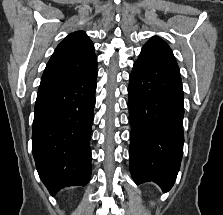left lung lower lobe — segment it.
Here are the masks:
<instances>
[{
	"label": "left lung lower lobe",
	"instance_id": "left-lung-lower-lobe-1",
	"mask_svg": "<svg viewBox=\"0 0 223 215\" xmlns=\"http://www.w3.org/2000/svg\"><path fill=\"white\" fill-rule=\"evenodd\" d=\"M130 171L136 184L169 191L183 154V89L179 74L135 62L129 76Z\"/></svg>",
	"mask_w": 223,
	"mask_h": 215
}]
</instances>
